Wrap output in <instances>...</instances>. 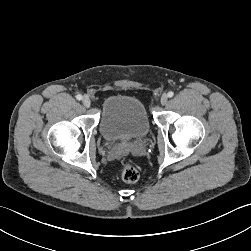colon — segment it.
<instances>
[{"mask_svg": "<svg viewBox=\"0 0 251 251\" xmlns=\"http://www.w3.org/2000/svg\"><path fill=\"white\" fill-rule=\"evenodd\" d=\"M121 177L124 182L134 183L139 178V172L131 162L125 161L122 164Z\"/></svg>", "mask_w": 251, "mask_h": 251, "instance_id": "obj_1", "label": "colon"}]
</instances>
